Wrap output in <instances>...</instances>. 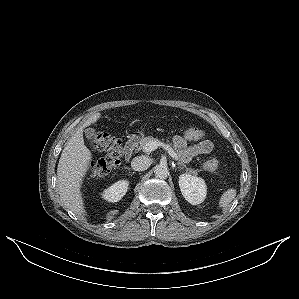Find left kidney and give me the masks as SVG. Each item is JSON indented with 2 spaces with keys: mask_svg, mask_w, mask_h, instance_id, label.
Wrapping results in <instances>:
<instances>
[{
  "mask_svg": "<svg viewBox=\"0 0 299 299\" xmlns=\"http://www.w3.org/2000/svg\"><path fill=\"white\" fill-rule=\"evenodd\" d=\"M179 187L183 197L192 205L202 203L207 194L204 179L184 173L179 176Z\"/></svg>",
  "mask_w": 299,
  "mask_h": 299,
  "instance_id": "left-kidney-1",
  "label": "left kidney"
}]
</instances>
